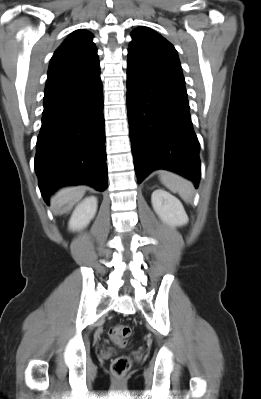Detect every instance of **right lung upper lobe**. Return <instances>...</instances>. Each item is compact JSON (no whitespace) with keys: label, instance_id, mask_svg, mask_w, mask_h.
<instances>
[{"label":"right lung upper lobe","instance_id":"obj_1","mask_svg":"<svg viewBox=\"0 0 261 399\" xmlns=\"http://www.w3.org/2000/svg\"><path fill=\"white\" fill-rule=\"evenodd\" d=\"M93 35L85 30L71 33L51 58L45 93L85 81L100 73Z\"/></svg>","mask_w":261,"mask_h":399}]
</instances>
